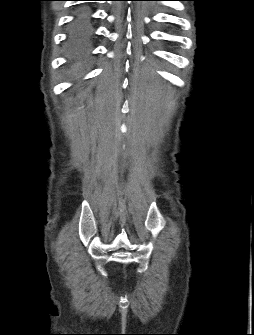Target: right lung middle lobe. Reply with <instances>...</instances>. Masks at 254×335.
Instances as JSON below:
<instances>
[{"label": "right lung middle lobe", "instance_id": "dd1d6c3e", "mask_svg": "<svg viewBox=\"0 0 254 335\" xmlns=\"http://www.w3.org/2000/svg\"><path fill=\"white\" fill-rule=\"evenodd\" d=\"M88 8L87 6H83ZM91 32V26L87 25L83 19L77 23H72L70 33L73 37L86 36Z\"/></svg>", "mask_w": 254, "mask_h": 335}]
</instances>
